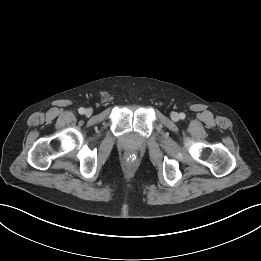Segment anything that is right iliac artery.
Segmentation results:
<instances>
[{"instance_id":"82829eb1","label":"right iliac artery","mask_w":261,"mask_h":261,"mask_svg":"<svg viewBox=\"0 0 261 261\" xmlns=\"http://www.w3.org/2000/svg\"><path fill=\"white\" fill-rule=\"evenodd\" d=\"M78 112H79L80 114H84L85 109L81 107V108H79Z\"/></svg>"}]
</instances>
